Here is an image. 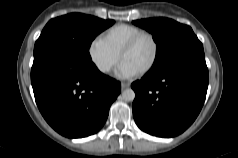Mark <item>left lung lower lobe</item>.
Instances as JSON below:
<instances>
[{
  "mask_svg": "<svg viewBox=\"0 0 238 158\" xmlns=\"http://www.w3.org/2000/svg\"><path fill=\"white\" fill-rule=\"evenodd\" d=\"M209 74L203 48L183 52L132 83L133 116L138 127L158 137H174L198 116Z\"/></svg>",
  "mask_w": 238,
  "mask_h": 158,
  "instance_id": "obj_1",
  "label": "left lung lower lobe"
}]
</instances>
